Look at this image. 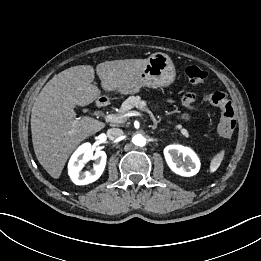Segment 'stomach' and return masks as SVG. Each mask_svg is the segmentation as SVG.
I'll return each mask as SVG.
<instances>
[{
  "instance_id": "obj_1",
  "label": "stomach",
  "mask_w": 261,
  "mask_h": 261,
  "mask_svg": "<svg viewBox=\"0 0 261 261\" xmlns=\"http://www.w3.org/2000/svg\"><path fill=\"white\" fill-rule=\"evenodd\" d=\"M176 72L171 58L165 53H154L148 58L144 69L130 82L119 87L122 94H135L142 87H167L175 80Z\"/></svg>"
}]
</instances>
